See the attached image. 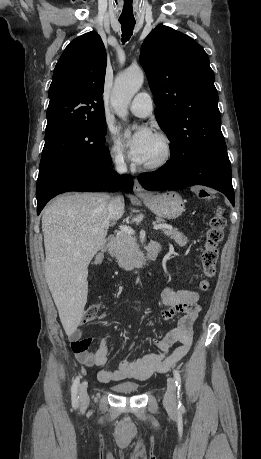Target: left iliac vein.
I'll return each instance as SVG.
<instances>
[{
	"instance_id": "obj_1",
	"label": "left iliac vein",
	"mask_w": 261,
	"mask_h": 459,
	"mask_svg": "<svg viewBox=\"0 0 261 459\" xmlns=\"http://www.w3.org/2000/svg\"><path fill=\"white\" fill-rule=\"evenodd\" d=\"M164 405L169 410H175L177 406L176 383L173 378L167 380V390L164 396Z\"/></svg>"
}]
</instances>
